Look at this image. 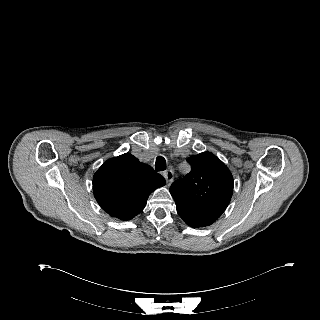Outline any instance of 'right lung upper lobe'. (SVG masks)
<instances>
[{"label":"right lung upper lobe","instance_id":"1","mask_svg":"<svg viewBox=\"0 0 320 320\" xmlns=\"http://www.w3.org/2000/svg\"><path fill=\"white\" fill-rule=\"evenodd\" d=\"M165 179L130 153L108 159L93 177L94 196L109 215L130 220L145 207L149 195Z\"/></svg>","mask_w":320,"mask_h":320}]
</instances>
